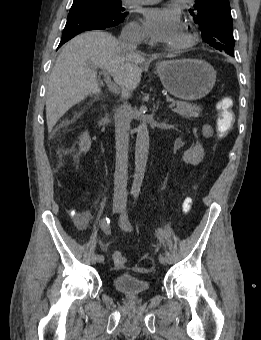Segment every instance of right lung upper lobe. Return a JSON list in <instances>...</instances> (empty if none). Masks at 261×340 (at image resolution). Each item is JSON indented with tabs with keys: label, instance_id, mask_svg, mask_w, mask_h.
I'll list each match as a JSON object with an SVG mask.
<instances>
[{
	"label": "right lung upper lobe",
	"instance_id": "cb5924a9",
	"mask_svg": "<svg viewBox=\"0 0 261 340\" xmlns=\"http://www.w3.org/2000/svg\"><path fill=\"white\" fill-rule=\"evenodd\" d=\"M91 1V0H74V2Z\"/></svg>",
	"mask_w": 261,
	"mask_h": 340
}]
</instances>
